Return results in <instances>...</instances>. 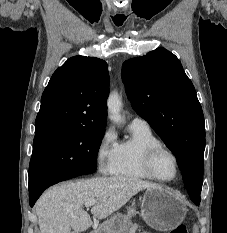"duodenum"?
I'll use <instances>...</instances> for the list:
<instances>
[{
  "label": "duodenum",
  "mask_w": 227,
  "mask_h": 233,
  "mask_svg": "<svg viewBox=\"0 0 227 233\" xmlns=\"http://www.w3.org/2000/svg\"><path fill=\"white\" fill-rule=\"evenodd\" d=\"M90 233H99L98 231H92V232H90Z\"/></svg>",
  "instance_id": "1"
}]
</instances>
